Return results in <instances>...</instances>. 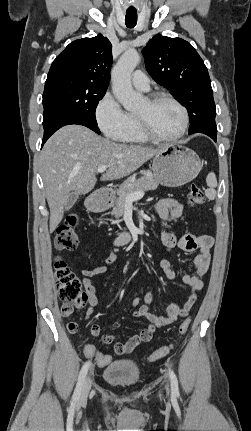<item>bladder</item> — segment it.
Wrapping results in <instances>:
<instances>
[{
    "label": "bladder",
    "instance_id": "obj_1",
    "mask_svg": "<svg viewBox=\"0 0 251 431\" xmlns=\"http://www.w3.org/2000/svg\"><path fill=\"white\" fill-rule=\"evenodd\" d=\"M103 379L109 384L129 388L139 381L140 368L132 360H116L104 369Z\"/></svg>",
    "mask_w": 251,
    "mask_h": 431
}]
</instances>
